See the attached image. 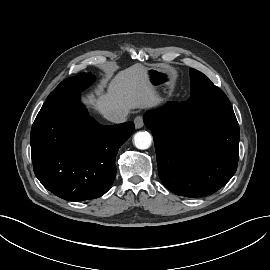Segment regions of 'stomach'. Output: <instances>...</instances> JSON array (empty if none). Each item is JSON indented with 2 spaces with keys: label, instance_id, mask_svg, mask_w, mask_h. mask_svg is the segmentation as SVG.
I'll list each match as a JSON object with an SVG mask.
<instances>
[{
  "label": "stomach",
  "instance_id": "stomach-1",
  "mask_svg": "<svg viewBox=\"0 0 270 270\" xmlns=\"http://www.w3.org/2000/svg\"><path fill=\"white\" fill-rule=\"evenodd\" d=\"M147 69L149 79L154 83V88L162 95L166 96L168 88L172 85L175 73L167 65L155 64Z\"/></svg>",
  "mask_w": 270,
  "mask_h": 270
}]
</instances>
